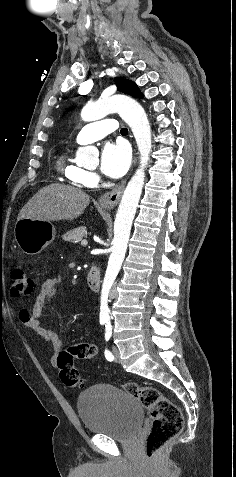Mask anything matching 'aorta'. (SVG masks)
I'll list each match as a JSON object with an SVG mask.
<instances>
[{
  "label": "aorta",
  "mask_w": 236,
  "mask_h": 477,
  "mask_svg": "<svg viewBox=\"0 0 236 477\" xmlns=\"http://www.w3.org/2000/svg\"><path fill=\"white\" fill-rule=\"evenodd\" d=\"M113 112H117L131 128L140 153V166L124 190L114 222L112 253L103 280L100 301V318L106 320L109 319V293L125 257L132 222L144 185V171L152 148L151 128L147 115L142 106L128 96L113 95L88 103L81 111V118L84 121H95ZM97 156L98 150L95 147H80L77 151V157L84 161Z\"/></svg>",
  "instance_id": "1"
}]
</instances>
